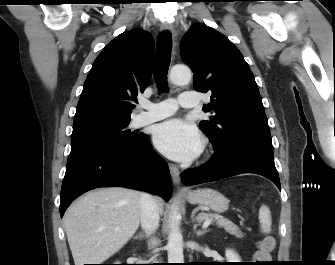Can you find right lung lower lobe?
<instances>
[{
    "instance_id": "98d812e1",
    "label": "right lung lower lobe",
    "mask_w": 335,
    "mask_h": 265,
    "mask_svg": "<svg viewBox=\"0 0 335 265\" xmlns=\"http://www.w3.org/2000/svg\"><path fill=\"white\" fill-rule=\"evenodd\" d=\"M106 186L144 190L169 200V168L147 135L127 147H88L71 151L60 194V215L83 193Z\"/></svg>"
}]
</instances>
